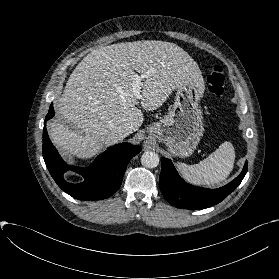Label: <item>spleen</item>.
<instances>
[{"label":"spleen","instance_id":"spleen-1","mask_svg":"<svg viewBox=\"0 0 279 279\" xmlns=\"http://www.w3.org/2000/svg\"><path fill=\"white\" fill-rule=\"evenodd\" d=\"M235 151L230 142L222 143L218 149L198 164L177 163L181 175L194 185H213L225 180L234 167Z\"/></svg>","mask_w":279,"mask_h":279}]
</instances>
